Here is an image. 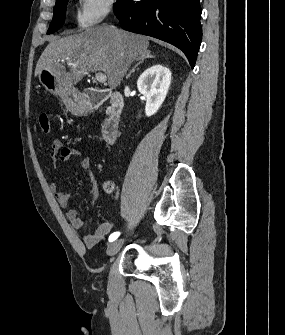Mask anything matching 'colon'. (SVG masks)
<instances>
[{
    "mask_svg": "<svg viewBox=\"0 0 285 335\" xmlns=\"http://www.w3.org/2000/svg\"><path fill=\"white\" fill-rule=\"evenodd\" d=\"M39 125H40V129L43 133H49L50 129H51V125H50V118L46 113H42L39 115ZM106 189L108 191H112L113 190V185L111 183H107L105 185Z\"/></svg>",
    "mask_w": 285,
    "mask_h": 335,
    "instance_id": "obj_1",
    "label": "colon"
}]
</instances>
